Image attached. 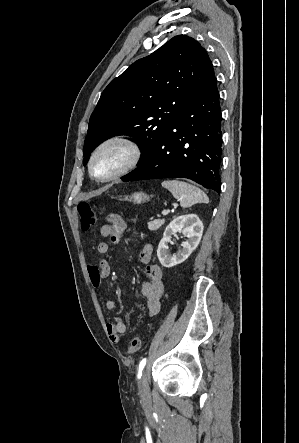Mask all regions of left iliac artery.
<instances>
[{
  "label": "left iliac artery",
  "instance_id": "left-iliac-artery-1",
  "mask_svg": "<svg viewBox=\"0 0 299 443\" xmlns=\"http://www.w3.org/2000/svg\"><path fill=\"white\" fill-rule=\"evenodd\" d=\"M146 362H147V359L146 358H144V359H142L141 361H140V363H139V367H138V378H141V376H142V371H143V369H144V367H145V365H146Z\"/></svg>",
  "mask_w": 299,
  "mask_h": 443
}]
</instances>
